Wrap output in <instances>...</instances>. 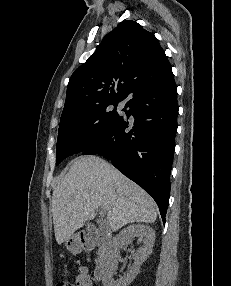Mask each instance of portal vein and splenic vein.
Returning <instances> with one entry per match:
<instances>
[{"instance_id": "1", "label": "portal vein and splenic vein", "mask_w": 231, "mask_h": 286, "mask_svg": "<svg viewBox=\"0 0 231 286\" xmlns=\"http://www.w3.org/2000/svg\"><path fill=\"white\" fill-rule=\"evenodd\" d=\"M99 214L100 215H105L106 214V210L104 208H100L99 209Z\"/></svg>"}]
</instances>
